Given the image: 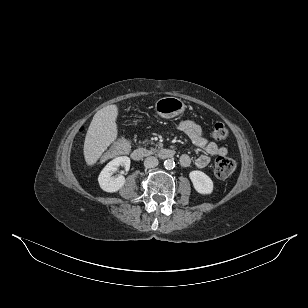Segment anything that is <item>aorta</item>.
I'll return each mask as SVG.
<instances>
[{"label":"aorta","instance_id":"762f6f07","mask_svg":"<svg viewBox=\"0 0 308 308\" xmlns=\"http://www.w3.org/2000/svg\"><path fill=\"white\" fill-rule=\"evenodd\" d=\"M164 167L167 170H171L175 167V162L172 159H167L164 161Z\"/></svg>","mask_w":308,"mask_h":308}]
</instances>
